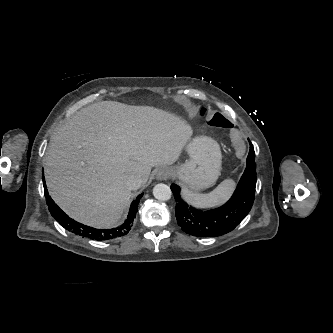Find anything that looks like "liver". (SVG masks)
<instances>
[{
	"mask_svg": "<svg viewBox=\"0 0 333 333\" xmlns=\"http://www.w3.org/2000/svg\"><path fill=\"white\" fill-rule=\"evenodd\" d=\"M193 130L165 111L102 101L82 108L51 138L45 178L53 200L73 219L114 226L131 194L130 175L174 164Z\"/></svg>",
	"mask_w": 333,
	"mask_h": 333,
	"instance_id": "6515ba94",
	"label": "liver"
}]
</instances>
